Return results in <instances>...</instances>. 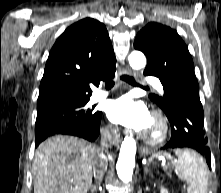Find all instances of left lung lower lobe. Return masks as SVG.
Segmentation results:
<instances>
[{
    "label": "left lung lower lobe",
    "mask_w": 221,
    "mask_h": 193,
    "mask_svg": "<svg viewBox=\"0 0 221 193\" xmlns=\"http://www.w3.org/2000/svg\"><path fill=\"white\" fill-rule=\"evenodd\" d=\"M145 75H158L145 70ZM159 78V77H158ZM168 101V117L172 137L163 149L191 148L206 158L211 169L210 148L204 132V112L199 98L198 84L191 81H165L159 78Z\"/></svg>",
    "instance_id": "obj_1"
}]
</instances>
